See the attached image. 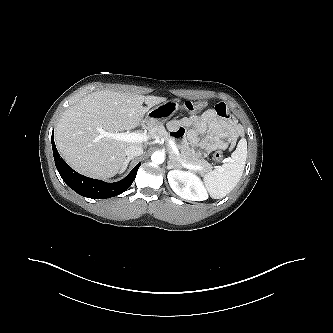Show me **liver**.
<instances>
[{
    "label": "liver",
    "mask_w": 333,
    "mask_h": 333,
    "mask_svg": "<svg viewBox=\"0 0 333 333\" xmlns=\"http://www.w3.org/2000/svg\"><path fill=\"white\" fill-rule=\"evenodd\" d=\"M164 100L111 90L88 94L68 108L57 123L58 151L81 174L100 179L113 177L124 165L125 149L141 143L115 140L102 132L116 133L140 126L145 113Z\"/></svg>",
    "instance_id": "obj_1"
}]
</instances>
